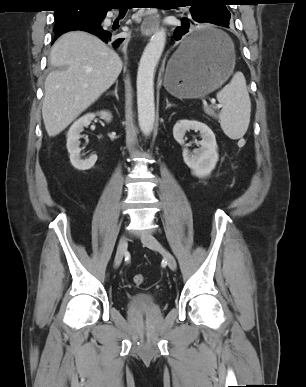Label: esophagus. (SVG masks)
I'll return each mask as SVG.
<instances>
[{"instance_id": "1", "label": "esophagus", "mask_w": 306, "mask_h": 387, "mask_svg": "<svg viewBox=\"0 0 306 387\" xmlns=\"http://www.w3.org/2000/svg\"><path fill=\"white\" fill-rule=\"evenodd\" d=\"M160 14L157 9L146 10V15L141 24V32L144 36L153 34L159 26Z\"/></svg>"}]
</instances>
